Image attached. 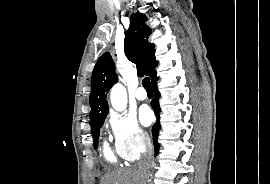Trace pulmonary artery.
<instances>
[{
	"label": "pulmonary artery",
	"mask_w": 270,
	"mask_h": 184,
	"mask_svg": "<svg viewBox=\"0 0 270 184\" xmlns=\"http://www.w3.org/2000/svg\"><path fill=\"white\" fill-rule=\"evenodd\" d=\"M135 96L138 100H145L147 98L146 91L142 87H139L136 90Z\"/></svg>",
	"instance_id": "pulmonary-artery-1"
}]
</instances>
